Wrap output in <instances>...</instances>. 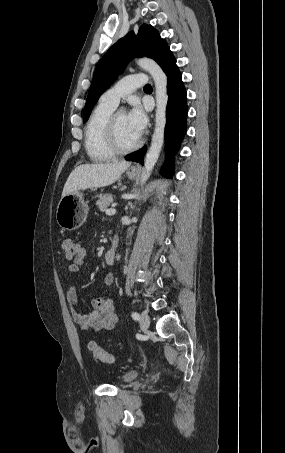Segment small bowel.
<instances>
[{"label":"small bowel","mask_w":285,"mask_h":453,"mask_svg":"<svg viewBox=\"0 0 285 453\" xmlns=\"http://www.w3.org/2000/svg\"><path fill=\"white\" fill-rule=\"evenodd\" d=\"M86 252L81 249L80 254L69 265V272L76 275L86 268ZM114 281L112 273H107L103 279V285H111ZM67 301L70 305L71 314L78 327L85 331L110 330L117 320L115 314V303L113 299L97 295L91 301V308L88 311H81L78 308L77 292L74 286H68L66 290Z\"/></svg>","instance_id":"small-bowel-1"}]
</instances>
